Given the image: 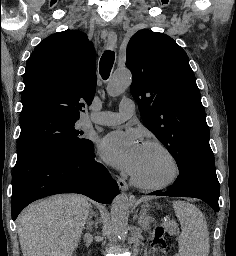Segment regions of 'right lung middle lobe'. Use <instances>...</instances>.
Instances as JSON below:
<instances>
[{
  "instance_id": "obj_1",
  "label": "right lung middle lobe",
  "mask_w": 236,
  "mask_h": 256,
  "mask_svg": "<svg viewBox=\"0 0 236 256\" xmlns=\"http://www.w3.org/2000/svg\"><path fill=\"white\" fill-rule=\"evenodd\" d=\"M78 119L55 112H40L20 118L17 160L46 149L81 150L90 145L92 141L84 138V132L76 125Z\"/></svg>"
}]
</instances>
